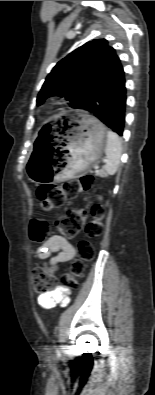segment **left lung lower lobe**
I'll list each match as a JSON object with an SVG mask.
<instances>
[{"mask_svg":"<svg viewBox=\"0 0 155 395\" xmlns=\"http://www.w3.org/2000/svg\"><path fill=\"white\" fill-rule=\"evenodd\" d=\"M126 79L121 63L115 66L79 109L97 117L118 135L123 134L126 108Z\"/></svg>","mask_w":155,"mask_h":395,"instance_id":"left-lung-lower-lobe-1","label":"left lung lower lobe"}]
</instances>
